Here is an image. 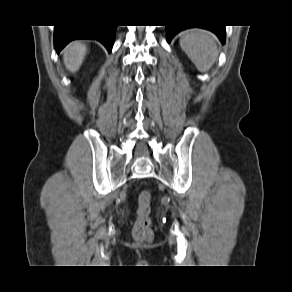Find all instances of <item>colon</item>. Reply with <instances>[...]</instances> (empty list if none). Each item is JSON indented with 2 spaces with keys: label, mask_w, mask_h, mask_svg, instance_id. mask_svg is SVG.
Wrapping results in <instances>:
<instances>
[{
  "label": "colon",
  "mask_w": 292,
  "mask_h": 292,
  "mask_svg": "<svg viewBox=\"0 0 292 292\" xmlns=\"http://www.w3.org/2000/svg\"><path fill=\"white\" fill-rule=\"evenodd\" d=\"M151 193L142 190L138 196L137 217L133 227V237L136 240H150L153 236L151 222Z\"/></svg>",
  "instance_id": "obj_1"
}]
</instances>
